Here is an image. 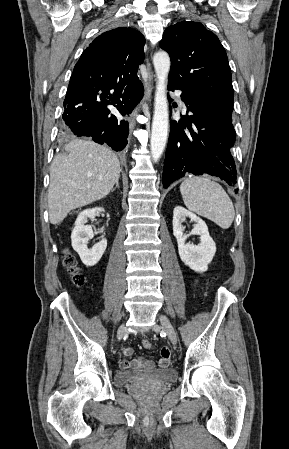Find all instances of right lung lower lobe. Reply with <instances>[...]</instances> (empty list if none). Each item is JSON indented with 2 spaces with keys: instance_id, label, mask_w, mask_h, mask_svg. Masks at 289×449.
Masks as SVG:
<instances>
[{
  "instance_id": "98d812e1",
  "label": "right lung lower lobe",
  "mask_w": 289,
  "mask_h": 449,
  "mask_svg": "<svg viewBox=\"0 0 289 449\" xmlns=\"http://www.w3.org/2000/svg\"><path fill=\"white\" fill-rule=\"evenodd\" d=\"M110 90H114L110 94ZM144 94L136 78L119 83L84 81L71 76L64 100L63 131L68 136H87L99 144L121 151L127 144L128 122L119 121L110 111L115 106L129 115Z\"/></svg>"
}]
</instances>
